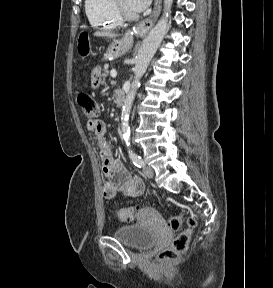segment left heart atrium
Returning <instances> with one entry per match:
<instances>
[{
	"instance_id": "obj_1",
	"label": "left heart atrium",
	"mask_w": 273,
	"mask_h": 288,
	"mask_svg": "<svg viewBox=\"0 0 273 288\" xmlns=\"http://www.w3.org/2000/svg\"><path fill=\"white\" fill-rule=\"evenodd\" d=\"M127 2L132 11L139 13L148 7L151 0H127Z\"/></svg>"
}]
</instances>
